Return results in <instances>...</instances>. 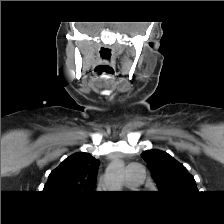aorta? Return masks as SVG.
<instances>
[{
  "mask_svg": "<svg viewBox=\"0 0 224 224\" xmlns=\"http://www.w3.org/2000/svg\"><path fill=\"white\" fill-rule=\"evenodd\" d=\"M124 178V164L120 159H114L106 170L107 188L111 191H118L122 188Z\"/></svg>",
  "mask_w": 224,
  "mask_h": 224,
  "instance_id": "1",
  "label": "aorta"
}]
</instances>
